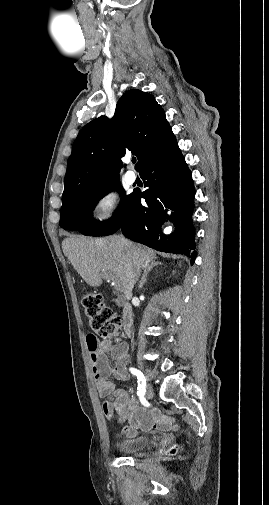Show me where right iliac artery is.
<instances>
[{
  "mask_svg": "<svg viewBox=\"0 0 269 505\" xmlns=\"http://www.w3.org/2000/svg\"><path fill=\"white\" fill-rule=\"evenodd\" d=\"M130 372L135 375L138 379V389H137V395L139 397H143L145 394V387H146V379L141 371H139L136 368L130 367L129 368Z\"/></svg>",
  "mask_w": 269,
  "mask_h": 505,
  "instance_id": "obj_1",
  "label": "right iliac artery"
}]
</instances>
